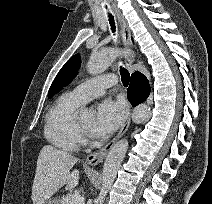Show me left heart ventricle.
<instances>
[{"label": "left heart ventricle", "instance_id": "1", "mask_svg": "<svg viewBox=\"0 0 212 204\" xmlns=\"http://www.w3.org/2000/svg\"><path fill=\"white\" fill-rule=\"evenodd\" d=\"M93 121H94V117L93 116H88V117H85V118H82V119L79 120L81 126L83 128H85L86 130H88V131L91 130Z\"/></svg>", "mask_w": 212, "mask_h": 204}]
</instances>
